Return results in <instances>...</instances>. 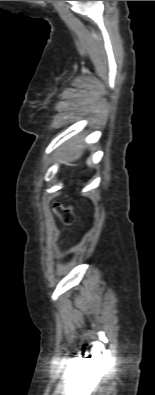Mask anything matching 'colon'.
<instances>
[{
  "mask_svg": "<svg viewBox=\"0 0 155 395\" xmlns=\"http://www.w3.org/2000/svg\"><path fill=\"white\" fill-rule=\"evenodd\" d=\"M57 213L64 224H71L74 220V214L70 207H65L57 204Z\"/></svg>",
  "mask_w": 155,
  "mask_h": 395,
  "instance_id": "obj_1",
  "label": "colon"
}]
</instances>
